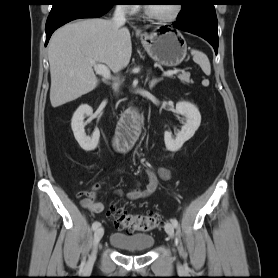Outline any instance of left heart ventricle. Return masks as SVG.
<instances>
[{
  "label": "left heart ventricle",
  "instance_id": "b2bd125f",
  "mask_svg": "<svg viewBox=\"0 0 278 278\" xmlns=\"http://www.w3.org/2000/svg\"><path fill=\"white\" fill-rule=\"evenodd\" d=\"M150 10L160 16H168L174 12L175 4L149 5Z\"/></svg>",
  "mask_w": 278,
  "mask_h": 278
}]
</instances>
